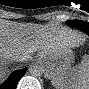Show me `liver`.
Listing matches in <instances>:
<instances>
[{
    "instance_id": "liver-1",
    "label": "liver",
    "mask_w": 89,
    "mask_h": 89,
    "mask_svg": "<svg viewBox=\"0 0 89 89\" xmlns=\"http://www.w3.org/2000/svg\"><path fill=\"white\" fill-rule=\"evenodd\" d=\"M58 33L56 29H48L40 24L7 22L0 29L2 60H5V56L10 52L22 57L36 51L41 54L55 51L60 45L71 49L80 38L79 35L73 34L66 39L57 35ZM3 71H6V67Z\"/></svg>"
}]
</instances>
